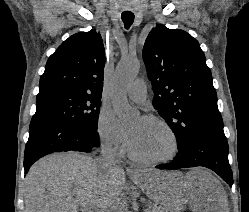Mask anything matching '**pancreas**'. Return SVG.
Instances as JSON below:
<instances>
[{
  "label": "pancreas",
  "mask_w": 249,
  "mask_h": 212,
  "mask_svg": "<svg viewBox=\"0 0 249 212\" xmlns=\"http://www.w3.org/2000/svg\"><path fill=\"white\" fill-rule=\"evenodd\" d=\"M145 212H164V208H162V210H160V208H158L157 204H152V206H149V208H147V210H145Z\"/></svg>",
  "instance_id": "pancreas-1"
}]
</instances>
